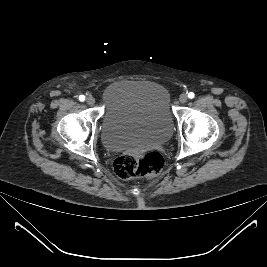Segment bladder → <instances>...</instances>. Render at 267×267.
<instances>
[{
  "label": "bladder",
  "mask_w": 267,
  "mask_h": 267,
  "mask_svg": "<svg viewBox=\"0 0 267 267\" xmlns=\"http://www.w3.org/2000/svg\"><path fill=\"white\" fill-rule=\"evenodd\" d=\"M103 145L111 151L162 144L173 131L170 95L161 84L148 80H120L103 92Z\"/></svg>",
  "instance_id": "bladder-1"
}]
</instances>
